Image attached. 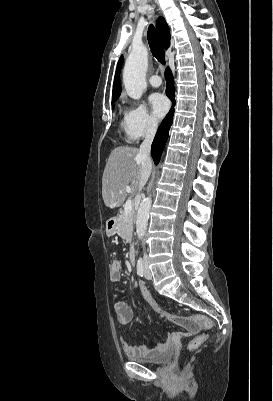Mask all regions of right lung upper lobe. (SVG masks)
Instances as JSON below:
<instances>
[{
	"instance_id": "right-lung-upper-lobe-1",
	"label": "right lung upper lobe",
	"mask_w": 273,
	"mask_h": 401,
	"mask_svg": "<svg viewBox=\"0 0 273 401\" xmlns=\"http://www.w3.org/2000/svg\"><path fill=\"white\" fill-rule=\"evenodd\" d=\"M157 29L159 32V35L161 37L162 43L165 47V49L170 47V30L169 27L164 20V18H159L157 21ZM123 62V56L120 57L117 68H116V73H115V78H114V84H113V95H112V102H114L120 95L121 92V85H120V70Z\"/></svg>"
}]
</instances>
